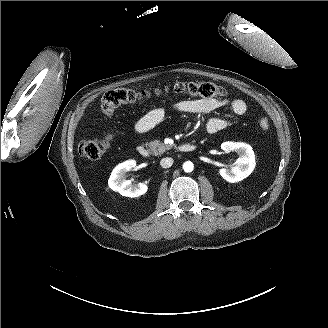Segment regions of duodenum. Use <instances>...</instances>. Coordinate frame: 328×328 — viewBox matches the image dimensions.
Here are the masks:
<instances>
[{
    "instance_id": "duodenum-1",
    "label": "duodenum",
    "mask_w": 328,
    "mask_h": 328,
    "mask_svg": "<svg viewBox=\"0 0 328 328\" xmlns=\"http://www.w3.org/2000/svg\"><path fill=\"white\" fill-rule=\"evenodd\" d=\"M195 148L196 147L193 144L184 143L178 147V151L182 153H188L194 151ZM137 152L139 153L140 156L144 158H147L150 155L149 149L145 145H139L137 147Z\"/></svg>"
}]
</instances>
